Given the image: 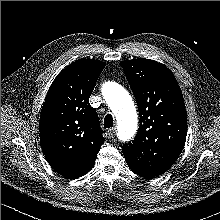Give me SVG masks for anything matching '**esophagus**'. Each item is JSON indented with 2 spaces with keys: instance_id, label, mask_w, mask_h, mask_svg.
I'll return each instance as SVG.
<instances>
[{
  "instance_id": "1",
  "label": "esophagus",
  "mask_w": 220,
  "mask_h": 220,
  "mask_svg": "<svg viewBox=\"0 0 220 220\" xmlns=\"http://www.w3.org/2000/svg\"><path fill=\"white\" fill-rule=\"evenodd\" d=\"M115 133H116V128H110V129L107 131V137H108L109 139H111V138L114 137Z\"/></svg>"
}]
</instances>
